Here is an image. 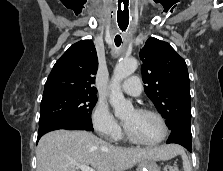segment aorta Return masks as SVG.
Instances as JSON below:
<instances>
[{
  "label": "aorta",
  "instance_id": "1",
  "mask_svg": "<svg viewBox=\"0 0 223 171\" xmlns=\"http://www.w3.org/2000/svg\"><path fill=\"white\" fill-rule=\"evenodd\" d=\"M138 67V62L134 58H127L120 60L113 72L112 82H111V92L109 101L114 109L115 116L122 117L128 112L133 110V105L130 101L126 100L121 88V82L132 75Z\"/></svg>",
  "mask_w": 223,
  "mask_h": 171
}]
</instances>
